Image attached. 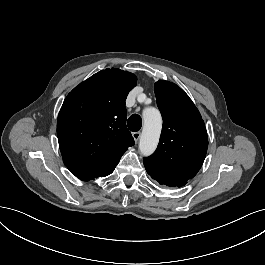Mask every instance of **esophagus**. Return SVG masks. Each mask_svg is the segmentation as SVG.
I'll return each mask as SVG.
<instances>
[{
    "label": "esophagus",
    "instance_id": "1",
    "mask_svg": "<svg viewBox=\"0 0 265 265\" xmlns=\"http://www.w3.org/2000/svg\"><path fill=\"white\" fill-rule=\"evenodd\" d=\"M132 136H133L135 142H137L139 140L140 136H141V132H138V131L137 132H133Z\"/></svg>",
    "mask_w": 265,
    "mask_h": 265
}]
</instances>
